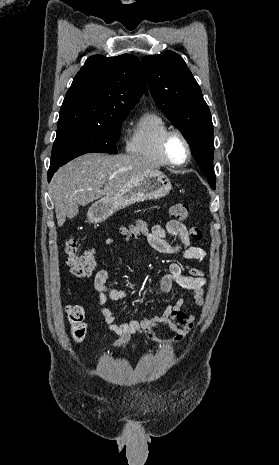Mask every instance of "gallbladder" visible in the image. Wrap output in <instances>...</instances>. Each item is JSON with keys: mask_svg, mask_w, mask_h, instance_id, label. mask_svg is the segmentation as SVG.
<instances>
[{"mask_svg": "<svg viewBox=\"0 0 279 465\" xmlns=\"http://www.w3.org/2000/svg\"><path fill=\"white\" fill-rule=\"evenodd\" d=\"M66 211H67V214L69 215L68 218H70V219L74 218L78 213L77 205L74 204V203L67 204L66 205Z\"/></svg>", "mask_w": 279, "mask_h": 465, "instance_id": "1", "label": "gallbladder"}]
</instances>
